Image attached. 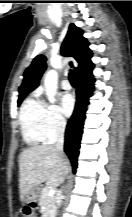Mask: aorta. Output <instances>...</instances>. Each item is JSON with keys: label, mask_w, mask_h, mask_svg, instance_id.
<instances>
[{"label": "aorta", "mask_w": 132, "mask_h": 217, "mask_svg": "<svg viewBox=\"0 0 132 217\" xmlns=\"http://www.w3.org/2000/svg\"><path fill=\"white\" fill-rule=\"evenodd\" d=\"M45 94L47 99L55 102V95L58 89V73L55 70H49L44 78Z\"/></svg>", "instance_id": "aorta-1"}]
</instances>
